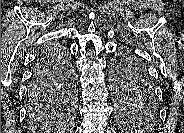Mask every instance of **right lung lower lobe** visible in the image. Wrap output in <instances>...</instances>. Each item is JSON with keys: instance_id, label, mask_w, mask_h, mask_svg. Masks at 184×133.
Returning a JSON list of instances; mask_svg holds the SVG:
<instances>
[{"instance_id": "obj_1", "label": "right lung lower lobe", "mask_w": 184, "mask_h": 133, "mask_svg": "<svg viewBox=\"0 0 184 133\" xmlns=\"http://www.w3.org/2000/svg\"><path fill=\"white\" fill-rule=\"evenodd\" d=\"M47 51L42 52L39 54L36 63L34 65L33 69V76L31 80V84L29 86L28 94H30L34 89L40 90L42 87H44L49 80V76L47 75V71L43 68V64L45 63L44 60L41 58V55L43 53H46ZM65 53V52H64Z\"/></svg>"}]
</instances>
